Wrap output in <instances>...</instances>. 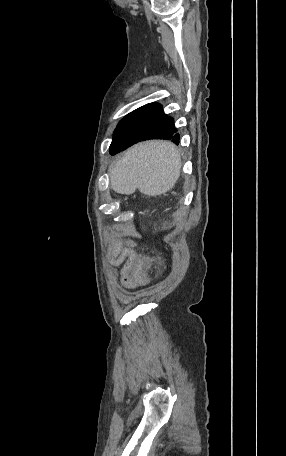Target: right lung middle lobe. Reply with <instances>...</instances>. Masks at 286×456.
Returning <instances> with one entry per match:
<instances>
[{
    "label": "right lung middle lobe",
    "mask_w": 286,
    "mask_h": 456,
    "mask_svg": "<svg viewBox=\"0 0 286 456\" xmlns=\"http://www.w3.org/2000/svg\"><path fill=\"white\" fill-rule=\"evenodd\" d=\"M124 138V126L123 121L121 120L114 132L113 141L110 145V151L118 147V145L124 140Z\"/></svg>",
    "instance_id": "obj_1"
}]
</instances>
